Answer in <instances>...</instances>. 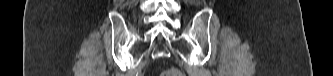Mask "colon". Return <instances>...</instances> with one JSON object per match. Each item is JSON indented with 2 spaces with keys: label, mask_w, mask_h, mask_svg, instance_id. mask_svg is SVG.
Here are the masks:
<instances>
[{
  "label": "colon",
  "mask_w": 333,
  "mask_h": 76,
  "mask_svg": "<svg viewBox=\"0 0 333 76\" xmlns=\"http://www.w3.org/2000/svg\"><path fill=\"white\" fill-rule=\"evenodd\" d=\"M165 76H182L183 74L177 69H169L165 72Z\"/></svg>",
  "instance_id": "obj_1"
}]
</instances>
